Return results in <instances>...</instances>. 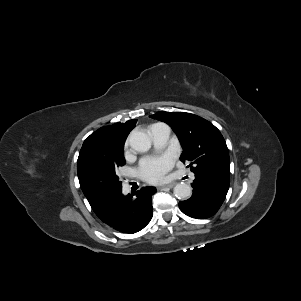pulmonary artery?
Wrapping results in <instances>:
<instances>
[{"mask_svg": "<svg viewBox=\"0 0 301 301\" xmlns=\"http://www.w3.org/2000/svg\"><path fill=\"white\" fill-rule=\"evenodd\" d=\"M149 135L157 149L163 148L170 136V127L164 123L152 124L148 129Z\"/></svg>", "mask_w": 301, "mask_h": 301, "instance_id": "obj_1", "label": "pulmonary artery"}]
</instances>
